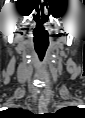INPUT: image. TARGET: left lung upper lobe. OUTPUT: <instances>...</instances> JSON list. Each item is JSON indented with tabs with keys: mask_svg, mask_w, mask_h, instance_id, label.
Segmentation results:
<instances>
[{
	"mask_svg": "<svg viewBox=\"0 0 85 118\" xmlns=\"http://www.w3.org/2000/svg\"><path fill=\"white\" fill-rule=\"evenodd\" d=\"M67 109H70V108H64V109H62V110H60V111H65V110H67Z\"/></svg>",
	"mask_w": 85,
	"mask_h": 118,
	"instance_id": "obj_1",
	"label": "left lung upper lobe"
}]
</instances>
